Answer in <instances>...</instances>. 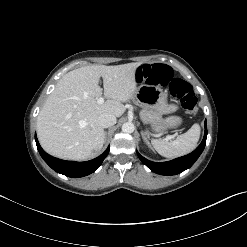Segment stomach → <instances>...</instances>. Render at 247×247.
<instances>
[{
  "mask_svg": "<svg viewBox=\"0 0 247 247\" xmlns=\"http://www.w3.org/2000/svg\"><path fill=\"white\" fill-rule=\"evenodd\" d=\"M135 97L142 107L154 109L160 114H171L176 112L179 107L176 104L168 103V94L159 86L142 84L137 88ZM182 124V118L179 116H170L166 119L152 124L156 132L166 130L167 128H176Z\"/></svg>",
  "mask_w": 247,
  "mask_h": 247,
  "instance_id": "stomach-1",
  "label": "stomach"
}]
</instances>
